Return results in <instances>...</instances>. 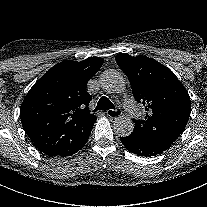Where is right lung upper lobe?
<instances>
[{"instance_id":"1","label":"right lung upper lobe","mask_w":207,"mask_h":207,"mask_svg":"<svg viewBox=\"0 0 207 207\" xmlns=\"http://www.w3.org/2000/svg\"><path fill=\"white\" fill-rule=\"evenodd\" d=\"M103 59L62 61L47 71L29 90L20 108L22 126L43 153L61 156L70 152L92 128L91 96L87 82L101 68Z\"/></svg>"}]
</instances>
